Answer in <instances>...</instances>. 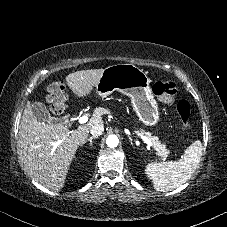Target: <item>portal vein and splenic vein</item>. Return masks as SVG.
I'll return each mask as SVG.
<instances>
[{
    "label": "portal vein and splenic vein",
    "mask_w": 227,
    "mask_h": 227,
    "mask_svg": "<svg viewBox=\"0 0 227 227\" xmlns=\"http://www.w3.org/2000/svg\"><path fill=\"white\" fill-rule=\"evenodd\" d=\"M88 121V117L87 116H81V117H79L78 118V123L79 124H84V123H86ZM140 137H141V139L148 145V146H153V143H152V141L147 137V136H144V135H142V134H138Z\"/></svg>",
    "instance_id": "1"
}]
</instances>
